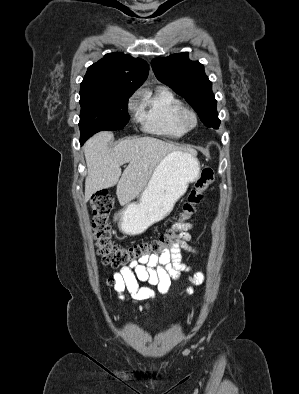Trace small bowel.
Masks as SVG:
<instances>
[{"instance_id":"small-bowel-1","label":"small bowel","mask_w":299,"mask_h":394,"mask_svg":"<svg viewBox=\"0 0 299 394\" xmlns=\"http://www.w3.org/2000/svg\"><path fill=\"white\" fill-rule=\"evenodd\" d=\"M182 230V235L178 242L170 251H166L160 256L153 255L134 262L127 267H123L113 276L114 289L120 301H125L131 297L135 303L142 302L155 297V292L151 287H141L139 282L156 286L158 291L166 293L169 291L172 281L177 280L182 273L189 272L191 268L182 261V252L196 254V248L189 244L191 240L190 230L193 223L174 224ZM204 275L200 272L191 277V282L195 285L201 284ZM192 292L191 288L187 289Z\"/></svg>"}]
</instances>
